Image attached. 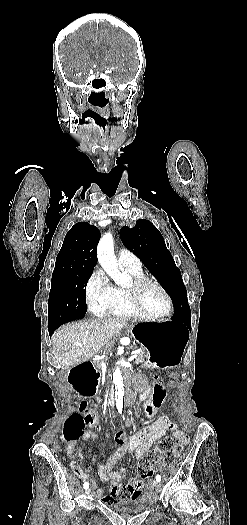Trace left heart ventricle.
<instances>
[{
  "label": "left heart ventricle",
  "instance_id": "b2bd125f",
  "mask_svg": "<svg viewBox=\"0 0 247 525\" xmlns=\"http://www.w3.org/2000/svg\"><path fill=\"white\" fill-rule=\"evenodd\" d=\"M143 305L151 312H160L166 307L163 292L151 282L145 283L140 290Z\"/></svg>",
  "mask_w": 247,
  "mask_h": 525
}]
</instances>
